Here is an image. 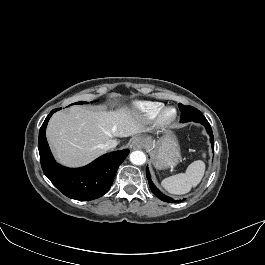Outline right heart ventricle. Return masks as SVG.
Segmentation results:
<instances>
[{"label":"right heart ventricle","mask_w":265,"mask_h":265,"mask_svg":"<svg viewBox=\"0 0 265 265\" xmlns=\"http://www.w3.org/2000/svg\"><path fill=\"white\" fill-rule=\"evenodd\" d=\"M162 108L161 102L143 101L134 105L133 112L140 120L150 122L156 118Z\"/></svg>","instance_id":"1"}]
</instances>
